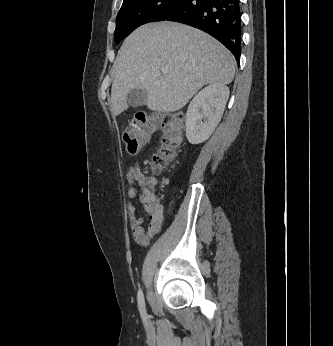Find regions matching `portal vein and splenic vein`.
I'll use <instances>...</instances> for the list:
<instances>
[{"label": "portal vein and splenic vein", "mask_w": 333, "mask_h": 346, "mask_svg": "<svg viewBox=\"0 0 333 346\" xmlns=\"http://www.w3.org/2000/svg\"><path fill=\"white\" fill-rule=\"evenodd\" d=\"M161 72H162L163 74H166V73L168 72V69H167V68H161Z\"/></svg>", "instance_id": "portal-vein-and-splenic-vein-1"}]
</instances>
